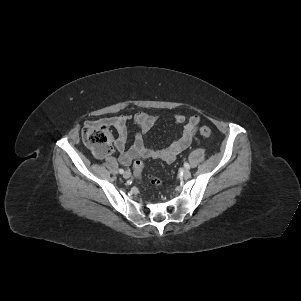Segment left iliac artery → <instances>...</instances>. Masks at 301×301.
Here are the masks:
<instances>
[{"instance_id":"1","label":"left iliac artery","mask_w":301,"mask_h":301,"mask_svg":"<svg viewBox=\"0 0 301 301\" xmlns=\"http://www.w3.org/2000/svg\"><path fill=\"white\" fill-rule=\"evenodd\" d=\"M184 167H185L186 169H190V165H189L188 163H184Z\"/></svg>"}]
</instances>
